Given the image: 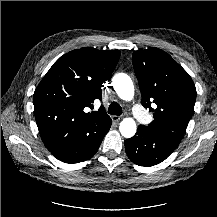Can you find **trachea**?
Here are the masks:
<instances>
[{"label":"trachea","instance_id":"obj_1","mask_svg":"<svg viewBox=\"0 0 217 217\" xmlns=\"http://www.w3.org/2000/svg\"><path fill=\"white\" fill-rule=\"evenodd\" d=\"M108 113L112 115L120 116L122 114V107L118 103L112 102L109 105Z\"/></svg>","mask_w":217,"mask_h":217}]
</instances>
